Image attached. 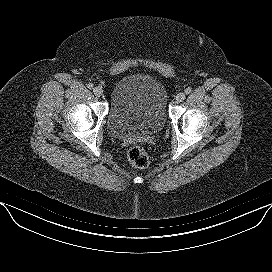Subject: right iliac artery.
I'll use <instances>...</instances> for the list:
<instances>
[{
  "instance_id": "1",
  "label": "right iliac artery",
  "mask_w": 272,
  "mask_h": 272,
  "mask_svg": "<svg viewBox=\"0 0 272 272\" xmlns=\"http://www.w3.org/2000/svg\"><path fill=\"white\" fill-rule=\"evenodd\" d=\"M87 87H88L89 89H93L94 85H93L92 83H89V84H87Z\"/></svg>"
}]
</instances>
